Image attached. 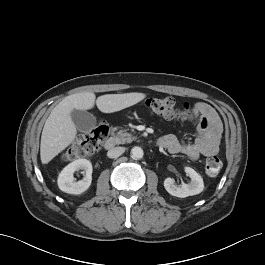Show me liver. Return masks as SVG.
I'll list each match as a JSON object with an SVG mask.
<instances>
[{
    "mask_svg": "<svg viewBox=\"0 0 265 265\" xmlns=\"http://www.w3.org/2000/svg\"><path fill=\"white\" fill-rule=\"evenodd\" d=\"M144 93L106 94L96 96L93 92H82L65 97L50 113L41 136L40 158L43 164L67 148L76 138L77 130L71 112L92 109L96 103L103 113H112L142 101Z\"/></svg>",
    "mask_w": 265,
    "mask_h": 265,
    "instance_id": "6515ba94",
    "label": "liver"
}]
</instances>
